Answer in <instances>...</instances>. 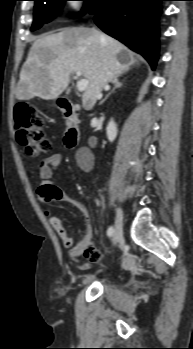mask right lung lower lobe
<instances>
[{
    "label": "right lung lower lobe",
    "mask_w": 193,
    "mask_h": 349,
    "mask_svg": "<svg viewBox=\"0 0 193 349\" xmlns=\"http://www.w3.org/2000/svg\"><path fill=\"white\" fill-rule=\"evenodd\" d=\"M164 0H99L90 12L108 35L140 53L155 68L159 55L158 17Z\"/></svg>",
    "instance_id": "right-lung-lower-lobe-1"
}]
</instances>
